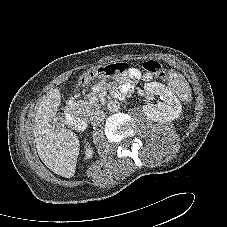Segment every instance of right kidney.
Returning a JSON list of instances; mask_svg holds the SVG:
<instances>
[{"label":"right kidney","mask_w":227,"mask_h":227,"mask_svg":"<svg viewBox=\"0 0 227 227\" xmlns=\"http://www.w3.org/2000/svg\"><path fill=\"white\" fill-rule=\"evenodd\" d=\"M93 153H94L93 149L90 146H88L86 148V151H85V157H86V159L92 158Z\"/></svg>","instance_id":"1"}]
</instances>
